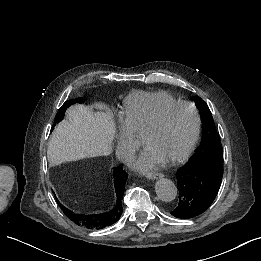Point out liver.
Masks as SVG:
<instances>
[{"instance_id":"6515ba94","label":"liver","mask_w":261,"mask_h":261,"mask_svg":"<svg viewBox=\"0 0 261 261\" xmlns=\"http://www.w3.org/2000/svg\"><path fill=\"white\" fill-rule=\"evenodd\" d=\"M96 107V112L80 104L69 107L50 137L48 152L82 158L110 154L116 135L114 114L103 104Z\"/></svg>"}]
</instances>
